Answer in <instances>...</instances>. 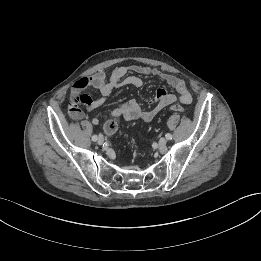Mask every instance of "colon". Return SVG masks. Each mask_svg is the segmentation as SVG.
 <instances>
[{
    "label": "colon",
    "mask_w": 261,
    "mask_h": 261,
    "mask_svg": "<svg viewBox=\"0 0 261 261\" xmlns=\"http://www.w3.org/2000/svg\"><path fill=\"white\" fill-rule=\"evenodd\" d=\"M170 110L175 113L184 112V107L178 103H174L170 106ZM119 127V121L117 118L108 120L104 125V131L107 135L111 136L116 133Z\"/></svg>",
    "instance_id": "5ec220e1"
}]
</instances>
